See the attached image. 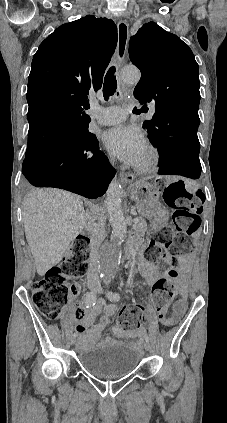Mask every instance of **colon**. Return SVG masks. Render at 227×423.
<instances>
[{
	"label": "colon",
	"mask_w": 227,
	"mask_h": 423,
	"mask_svg": "<svg viewBox=\"0 0 227 423\" xmlns=\"http://www.w3.org/2000/svg\"><path fill=\"white\" fill-rule=\"evenodd\" d=\"M157 184L163 191L165 203L174 210L175 230L166 226L157 233L145 258L149 261L158 259L162 255V247L169 251L167 257L173 267L166 277L153 285L151 294L156 310L164 312L171 304L176 294V283L182 276L175 256L191 250V235L200 227L202 205L198 193L187 183L159 180ZM89 242L88 236L78 235L64 260L33 284V302L47 319L55 320L61 315L69 297L68 280L80 277L87 271ZM142 310L143 307L138 304L123 307L118 324L126 330L139 329L143 321ZM82 315V311L77 310L76 317L81 319Z\"/></svg>",
	"instance_id": "colon-1"
}]
</instances>
